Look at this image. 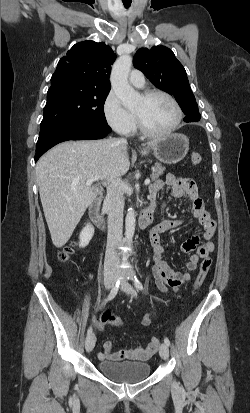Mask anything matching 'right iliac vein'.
Segmentation results:
<instances>
[{"label":"right iliac vein","instance_id":"right-iliac-vein-1","mask_svg":"<svg viewBox=\"0 0 250 413\" xmlns=\"http://www.w3.org/2000/svg\"><path fill=\"white\" fill-rule=\"evenodd\" d=\"M115 281H116V275L114 273L107 274L104 279V284H105L106 289L112 288L115 284ZM95 342H96V338L94 334H90L87 336L85 340V349L87 352H90L93 350L95 346Z\"/></svg>","mask_w":250,"mask_h":413}]
</instances>
